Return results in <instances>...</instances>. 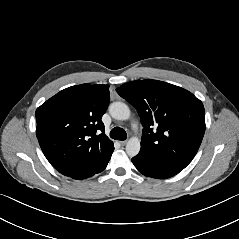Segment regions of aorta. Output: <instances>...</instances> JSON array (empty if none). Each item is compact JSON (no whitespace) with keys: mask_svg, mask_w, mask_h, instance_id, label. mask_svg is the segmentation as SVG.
<instances>
[{"mask_svg":"<svg viewBox=\"0 0 239 239\" xmlns=\"http://www.w3.org/2000/svg\"><path fill=\"white\" fill-rule=\"evenodd\" d=\"M110 115L117 120H128L130 118V109L123 102H114L109 106ZM141 145L138 137H132L126 144V153L130 157L136 156L140 151Z\"/></svg>","mask_w":239,"mask_h":239,"instance_id":"obj_1","label":"aorta"}]
</instances>
